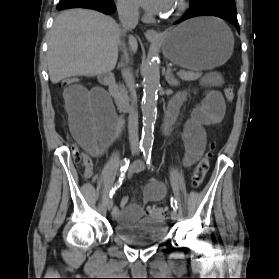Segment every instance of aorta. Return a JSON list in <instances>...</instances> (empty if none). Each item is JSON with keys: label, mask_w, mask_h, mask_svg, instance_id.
Returning <instances> with one entry per match:
<instances>
[{"label": "aorta", "mask_w": 279, "mask_h": 279, "mask_svg": "<svg viewBox=\"0 0 279 279\" xmlns=\"http://www.w3.org/2000/svg\"><path fill=\"white\" fill-rule=\"evenodd\" d=\"M144 89L142 98V114H143V129H142V146H150L153 141V128L157 115V99L158 90L160 87V66L152 58L148 60L144 67Z\"/></svg>", "instance_id": "1"}]
</instances>
